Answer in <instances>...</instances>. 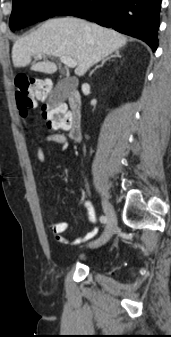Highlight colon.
<instances>
[{"mask_svg":"<svg viewBox=\"0 0 171 337\" xmlns=\"http://www.w3.org/2000/svg\"><path fill=\"white\" fill-rule=\"evenodd\" d=\"M15 90L16 105L23 116H26L34 107L36 98H42L43 103L51 102V106L41 107L43 119H48V127L52 130L67 129L69 117L61 108L64 104L63 100L51 101V98L55 97V92L50 91L47 80L36 76L19 75L15 79Z\"/></svg>","mask_w":171,"mask_h":337,"instance_id":"5ec220e1","label":"colon"}]
</instances>
